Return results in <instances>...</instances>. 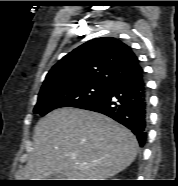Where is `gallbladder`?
<instances>
[{"label":"gallbladder","mask_w":178,"mask_h":186,"mask_svg":"<svg viewBox=\"0 0 178 186\" xmlns=\"http://www.w3.org/2000/svg\"><path fill=\"white\" fill-rule=\"evenodd\" d=\"M62 178V175L61 174H55V175H52L50 176V180H59Z\"/></svg>","instance_id":"gallbladder-1"}]
</instances>
